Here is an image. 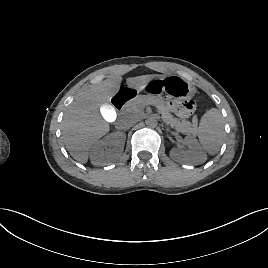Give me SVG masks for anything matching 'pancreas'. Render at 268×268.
<instances>
[{
    "label": "pancreas",
    "mask_w": 268,
    "mask_h": 268,
    "mask_svg": "<svg viewBox=\"0 0 268 268\" xmlns=\"http://www.w3.org/2000/svg\"><path fill=\"white\" fill-rule=\"evenodd\" d=\"M147 105H154L158 112L162 115L163 121L174 128L176 131L187 135H195L197 133V123L181 120L174 117L166 108L163 98L155 95H140L126 106L129 113H140Z\"/></svg>",
    "instance_id": "cf45deb5"
}]
</instances>
